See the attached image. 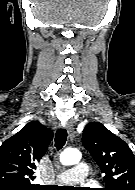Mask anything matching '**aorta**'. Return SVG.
Listing matches in <instances>:
<instances>
[{
  "mask_svg": "<svg viewBox=\"0 0 135 190\" xmlns=\"http://www.w3.org/2000/svg\"><path fill=\"white\" fill-rule=\"evenodd\" d=\"M81 153L77 149H65L60 155V162L63 165H74L81 160Z\"/></svg>",
  "mask_w": 135,
  "mask_h": 190,
  "instance_id": "aorta-1",
  "label": "aorta"
}]
</instances>
